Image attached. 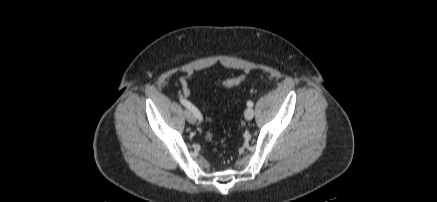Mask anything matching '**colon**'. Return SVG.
I'll return each mask as SVG.
<instances>
[{
    "label": "colon",
    "mask_w": 437,
    "mask_h": 202,
    "mask_svg": "<svg viewBox=\"0 0 437 202\" xmlns=\"http://www.w3.org/2000/svg\"><path fill=\"white\" fill-rule=\"evenodd\" d=\"M244 78H245V75H243V74L230 77V78H228L227 80H225L223 82V87L225 89H231V88L239 85L244 80ZM206 138L208 140H210L211 139V134L207 133L206 134Z\"/></svg>",
    "instance_id": "colon-1"
}]
</instances>
